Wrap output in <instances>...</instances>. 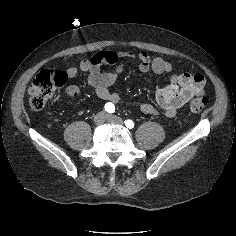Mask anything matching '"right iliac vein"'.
Returning <instances> with one entry per match:
<instances>
[{"mask_svg": "<svg viewBox=\"0 0 236 236\" xmlns=\"http://www.w3.org/2000/svg\"><path fill=\"white\" fill-rule=\"evenodd\" d=\"M105 119H106V113L101 111L95 115L94 122L95 124L100 125L105 121Z\"/></svg>", "mask_w": 236, "mask_h": 236, "instance_id": "right-iliac-vein-1", "label": "right iliac vein"}]
</instances>
